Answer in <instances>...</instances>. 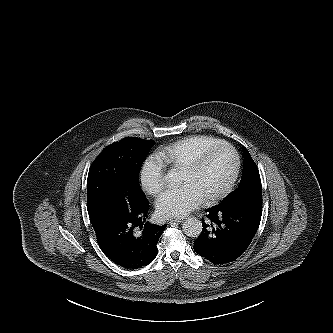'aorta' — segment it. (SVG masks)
Returning <instances> with one entry per match:
<instances>
[{"label": "aorta", "instance_id": "762f6f07", "mask_svg": "<svg viewBox=\"0 0 333 333\" xmlns=\"http://www.w3.org/2000/svg\"><path fill=\"white\" fill-rule=\"evenodd\" d=\"M168 176L172 177L171 174H168ZM182 228L185 235L195 238L202 232V223L199 219L190 217L183 222Z\"/></svg>", "mask_w": 333, "mask_h": 333}]
</instances>
